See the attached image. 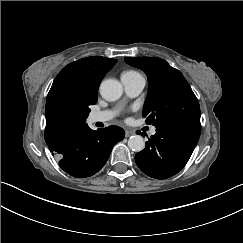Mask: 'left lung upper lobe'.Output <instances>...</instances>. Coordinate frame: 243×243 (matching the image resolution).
Masks as SVG:
<instances>
[{
    "label": "left lung upper lobe",
    "mask_w": 243,
    "mask_h": 243,
    "mask_svg": "<svg viewBox=\"0 0 243 243\" xmlns=\"http://www.w3.org/2000/svg\"><path fill=\"white\" fill-rule=\"evenodd\" d=\"M148 77V96L143 115L147 124L159 127L172 122L200 125L199 102L180 71L156 57H125Z\"/></svg>",
    "instance_id": "1"
}]
</instances>
